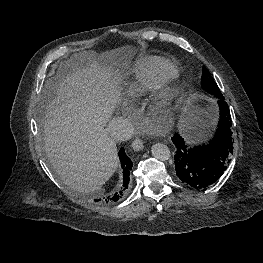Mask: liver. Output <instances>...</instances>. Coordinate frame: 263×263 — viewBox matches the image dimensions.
Masks as SVG:
<instances>
[{"label":"liver","mask_w":263,"mask_h":263,"mask_svg":"<svg viewBox=\"0 0 263 263\" xmlns=\"http://www.w3.org/2000/svg\"><path fill=\"white\" fill-rule=\"evenodd\" d=\"M127 50L117 48L97 60L81 54L80 63L52 88L43 125L44 149L65 184L77 191L99 190L118 167L116 142L105 126L121 100L114 67L127 65ZM185 114V121L194 116L187 109Z\"/></svg>","instance_id":"obj_1"}]
</instances>
